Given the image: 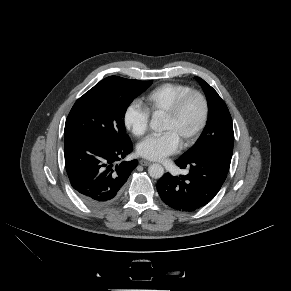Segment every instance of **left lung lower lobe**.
Instances as JSON below:
<instances>
[{"mask_svg": "<svg viewBox=\"0 0 291 291\" xmlns=\"http://www.w3.org/2000/svg\"><path fill=\"white\" fill-rule=\"evenodd\" d=\"M175 163L187 169V175L166 173L159 179L157 190L165 204L190 212L205 206L216 196L227 177L231 157L207 154L178 159Z\"/></svg>", "mask_w": 291, "mask_h": 291, "instance_id": "1", "label": "left lung lower lobe"}]
</instances>
